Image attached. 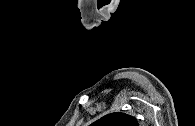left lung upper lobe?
Instances as JSON below:
<instances>
[{"label":"left lung upper lobe","instance_id":"left-lung-upper-lobe-1","mask_svg":"<svg viewBox=\"0 0 195 126\" xmlns=\"http://www.w3.org/2000/svg\"><path fill=\"white\" fill-rule=\"evenodd\" d=\"M91 126H139L135 117L125 113H111L95 121Z\"/></svg>","mask_w":195,"mask_h":126}]
</instances>
